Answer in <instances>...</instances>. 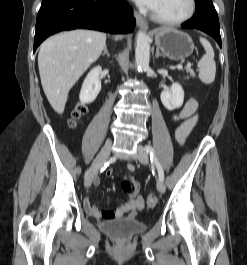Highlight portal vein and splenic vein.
I'll use <instances>...</instances> for the list:
<instances>
[{"label": "portal vein and splenic vein", "mask_w": 247, "mask_h": 265, "mask_svg": "<svg viewBox=\"0 0 247 265\" xmlns=\"http://www.w3.org/2000/svg\"><path fill=\"white\" fill-rule=\"evenodd\" d=\"M190 66H191V63H188V64H187V67H190ZM177 68H178V69H182V65H178Z\"/></svg>", "instance_id": "1"}]
</instances>
